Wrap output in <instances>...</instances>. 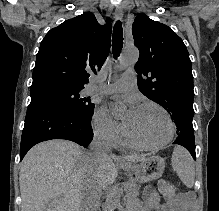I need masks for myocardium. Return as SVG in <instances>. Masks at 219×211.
<instances>
[{
    "instance_id": "1",
    "label": "myocardium",
    "mask_w": 219,
    "mask_h": 211,
    "mask_svg": "<svg viewBox=\"0 0 219 211\" xmlns=\"http://www.w3.org/2000/svg\"><path fill=\"white\" fill-rule=\"evenodd\" d=\"M145 106H154L157 107L158 109H160L166 116L168 123H169V133L167 135V137L160 143L157 144H144L142 142H139L138 140H136L128 131L126 125H124V135L127 139V141L134 147L136 148H140V149H145V150H154V149H160L164 146H166L167 144H169L174 135H175V131H176V127H175V123L173 121V118L171 116V114L169 113V111L161 104L155 102V101H144L142 103H140L138 105V108L141 107H145Z\"/></svg>"
}]
</instances>
